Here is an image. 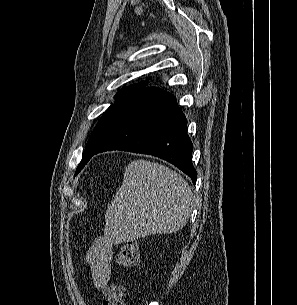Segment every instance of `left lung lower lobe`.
I'll list each match as a JSON object with an SVG mask.
<instances>
[{"instance_id": "0a47b994", "label": "left lung lower lobe", "mask_w": 297, "mask_h": 305, "mask_svg": "<svg viewBox=\"0 0 297 305\" xmlns=\"http://www.w3.org/2000/svg\"><path fill=\"white\" fill-rule=\"evenodd\" d=\"M111 150L162 158L196 183L197 172L192 164L193 144L187 135V120L176 105L175 97L161 89H143L115 119L92 156Z\"/></svg>"}]
</instances>
